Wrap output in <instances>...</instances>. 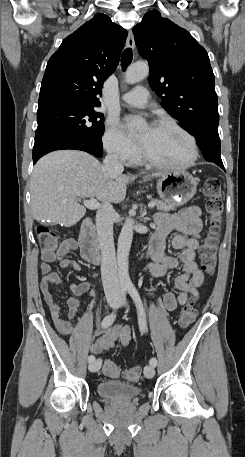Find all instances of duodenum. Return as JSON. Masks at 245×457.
<instances>
[{"instance_id":"obj_1","label":"duodenum","mask_w":245,"mask_h":457,"mask_svg":"<svg viewBox=\"0 0 245 457\" xmlns=\"http://www.w3.org/2000/svg\"><path fill=\"white\" fill-rule=\"evenodd\" d=\"M79 245L83 259L94 265L101 263V253L97 246L95 228L92 218H86L81 226Z\"/></svg>"}]
</instances>
